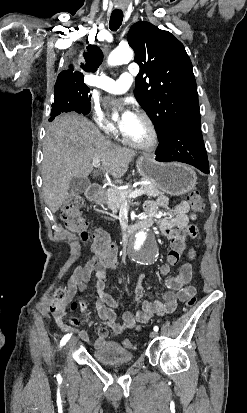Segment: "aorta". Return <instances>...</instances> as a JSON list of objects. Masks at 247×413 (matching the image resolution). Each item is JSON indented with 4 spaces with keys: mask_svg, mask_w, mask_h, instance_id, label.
Returning <instances> with one entry per match:
<instances>
[{
    "mask_svg": "<svg viewBox=\"0 0 247 413\" xmlns=\"http://www.w3.org/2000/svg\"><path fill=\"white\" fill-rule=\"evenodd\" d=\"M133 58V50L130 47H117L108 57L110 66H118L124 63H129ZM142 238L144 235L141 236Z\"/></svg>",
    "mask_w": 247,
    "mask_h": 413,
    "instance_id": "aorta-1",
    "label": "aorta"
}]
</instances>
